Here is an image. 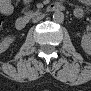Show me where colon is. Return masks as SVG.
<instances>
[{
	"label": "colon",
	"instance_id": "colon-1",
	"mask_svg": "<svg viewBox=\"0 0 91 91\" xmlns=\"http://www.w3.org/2000/svg\"><path fill=\"white\" fill-rule=\"evenodd\" d=\"M9 6V2L8 1H3L2 3V11L4 12Z\"/></svg>",
	"mask_w": 91,
	"mask_h": 91
}]
</instances>
